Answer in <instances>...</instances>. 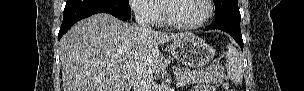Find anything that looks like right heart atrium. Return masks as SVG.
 Returning a JSON list of instances; mask_svg holds the SVG:
<instances>
[{
	"label": "right heart atrium",
	"instance_id": "obj_1",
	"mask_svg": "<svg viewBox=\"0 0 304 91\" xmlns=\"http://www.w3.org/2000/svg\"><path fill=\"white\" fill-rule=\"evenodd\" d=\"M131 6L139 18L146 22L157 23L161 20V10L154 0H132Z\"/></svg>",
	"mask_w": 304,
	"mask_h": 91
}]
</instances>
